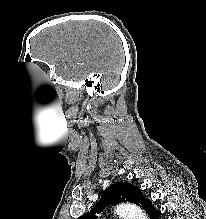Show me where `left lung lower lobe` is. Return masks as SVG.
<instances>
[{"mask_svg": "<svg viewBox=\"0 0 206 219\" xmlns=\"http://www.w3.org/2000/svg\"><path fill=\"white\" fill-rule=\"evenodd\" d=\"M147 214L149 215L150 219H159L160 211L154 209L152 206L147 211Z\"/></svg>", "mask_w": 206, "mask_h": 219, "instance_id": "obj_1", "label": "left lung lower lobe"}]
</instances>
